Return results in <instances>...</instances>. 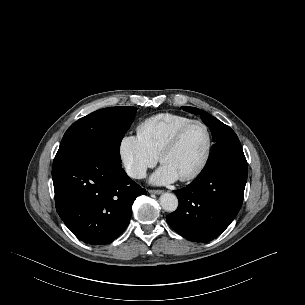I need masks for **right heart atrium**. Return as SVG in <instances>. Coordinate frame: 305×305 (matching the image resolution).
<instances>
[{
	"label": "right heart atrium",
	"mask_w": 305,
	"mask_h": 305,
	"mask_svg": "<svg viewBox=\"0 0 305 305\" xmlns=\"http://www.w3.org/2000/svg\"><path fill=\"white\" fill-rule=\"evenodd\" d=\"M119 154L126 172L135 179L144 177L158 160L138 135L124 136L120 141Z\"/></svg>",
	"instance_id": "1"
}]
</instances>
